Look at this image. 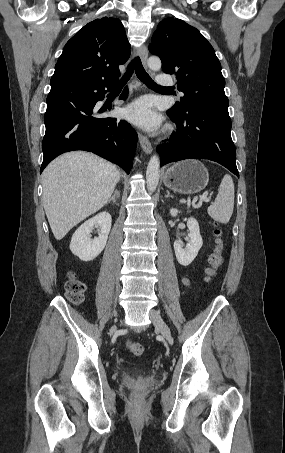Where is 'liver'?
Wrapping results in <instances>:
<instances>
[{
  "instance_id": "6515ba94",
  "label": "liver",
  "mask_w": 285,
  "mask_h": 453,
  "mask_svg": "<svg viewBox=\"0 0 285 453\" xmlns=\"http://www.w3.org/2000/svg\"><path fill=\"white\" fill-rule=\"evenodd\" d=\"M119 176L114 165L88 152H68L53 160L42 174V199L54 237L61 240L100 210Z\"/></svg>"
}]
</instances>
